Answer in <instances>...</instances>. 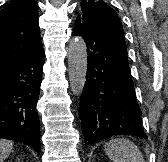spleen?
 Returning <instances> with one entry per match:
<instances>
[{
    "label": "spleen",
    "mask_w": 168,
    "mask_h": 162,
    "mask_svg": "<svg viewBox=\"0 0 168 162\" xmlns=\"http://www.w3.org/2000/svg\"><path fill=\"white\" fill-rule=\"evenodd\" d=\"M104 150L113 162H145L139 148L125 138L112 139Z\"/></svg>",
    "instance_id": "obj_1"
}]
</instances>
